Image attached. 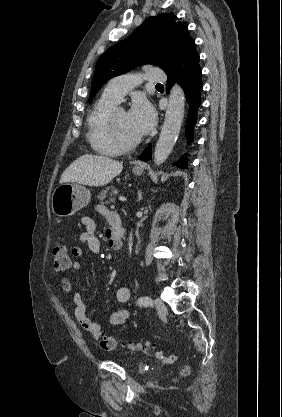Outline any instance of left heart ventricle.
<instances>
[{
    "mask_svg": "<svg viewBox=\"0 0 282 417\" xmlns=\"http://www.w3.org/2000/svg\"><path fill=\"white\" fill-rule=\"evenodd\" d=\"M104 130L110 135V127L107 120L104 122ZM116 126L120 136L126 141H132L139 137L130 125L128 114L125 111L118 112L116 116Z\"/></svg>",
    "mask_w": 282,
    "mask_h": 417,
    "instance_id": "obj_1",
    "label": "left heart ventricle"
}]
</instances>
